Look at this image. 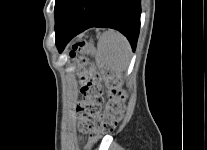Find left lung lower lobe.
<instances>
[{"mask_svg": "<svg viewBox=\"0 0 207 150\" xmlns=\"http://www.w3.org/2000/svg\"><path fill=\"white\" fill-rule=\"evenodd\" d=\"M140 14V0H66L55 21L58 50L62 52L74 36L90 27L120 31L135 50Z\"/></svg>", "mask_w": 207, "mask_h": 150, "instance_id": "0a47b994", "label": "left lung lower lobe"}]
</instances>
